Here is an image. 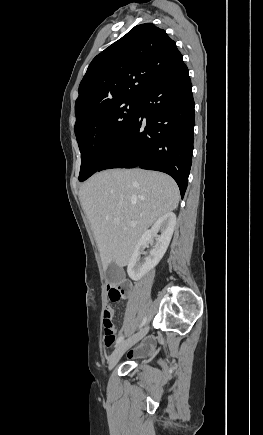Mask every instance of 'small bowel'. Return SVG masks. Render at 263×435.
<instances>
[{
    "label": "small bowel",
    "instance_id": "1",
    "mask_svg": "<svg viewBox=\"0 0 263 435\" xmlns=\"http://www.w3.org/2000/svg\"><path fill=\"white\" fill-rule=\"evenodd\" d=\"M127 289V287H126ZM109 311L111 313V315L113 316V310L112 308L107 305L104 309V312ZM127 327V324L124 323L121 327L120 333H122ZM152 346V341L151 340H147L145 341L141 346H139V348L133 352V355H142L144 352H146L150 347Z\"/></svg>",
    "mask_w": 263,
    "mask_h": 435
}]
</instances>
